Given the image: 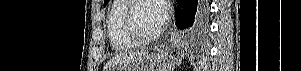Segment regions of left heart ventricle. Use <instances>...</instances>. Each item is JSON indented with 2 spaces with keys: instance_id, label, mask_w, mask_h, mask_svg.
<instances>
[{
  "instance_id": "b2bd125f",
  "label": "left heart ventricle",
  "mask_w": 301,
  "mask_h": 71,
  "mask_svg": "<svg viewBox=\"0 0 301 71\" xmlns=\"http://www.w3.org/2000/svg\"><path fill=\"white\" fill-rule=\"evenodd\" d=\"M135 21L144 34H152L160 30L153 1H144L138 5Z\"/></svg>"
}]
</instances>
